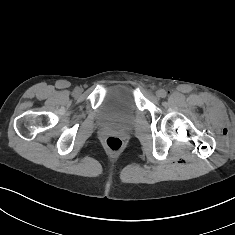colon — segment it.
Masks as SVG:
<instances>
[{
  "label": "colon",
  "instance_id": "5ec220e1",
  "mask_svg": "<svg viewBox=\"0 0 235 235\" xmlns=\"http://www.w3.org/2000/svg\"><path fill=\"white\" fill-rule=\"evenodd\" d=\"M105 146L110 152L118 153L123 148V141L118 136L111 135L106 138Z\"/></svg>",
  "mask_w": 235,
  "mask_h": 235
}]
</instances>
